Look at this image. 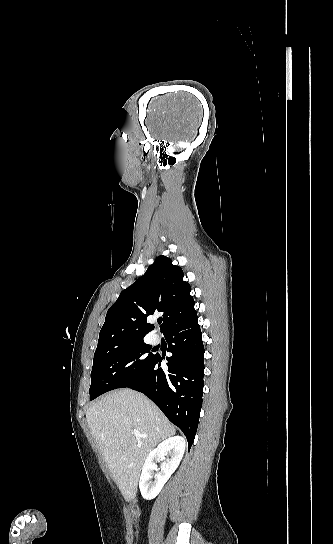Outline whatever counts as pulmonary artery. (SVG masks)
<instances>
[{
    "label": "pulmonary artery",
    "mask_w": 333,
    "mask_h": 544,
    "mask_svg": "<svg viewBox=\"0 0 333 544\" xmlns=\"http://www.w3.org/2000/svg\"><path fill=\"white\" fill-rule=\"evenodd\" d=\"M151 342L153 344H158L160 342V336L157 333H153L151 336Z\"/></svg>",
    "instance_id": "pulmonary-artery-1"
}]
</instances>
